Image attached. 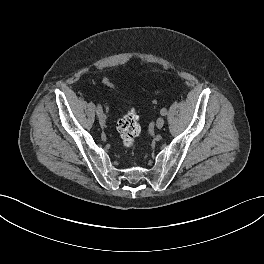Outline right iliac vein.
Segmentation results:
<instances>
[{"label":"right iliac vein","instance_id":"1","mask_svg":"<svg viewBox=\"0 0 264 264\" xmlns=\"http://www.w3.org/2000/svg\"><path fill=\"white\" fill-rule=\"evenodd\" d=\"M105 122H106V120H105L104 114L99 115V123H100L101 127L105 126Z\"/></svg>","mask_w":264,"mask_h":264}]
</instances>
